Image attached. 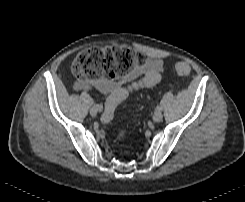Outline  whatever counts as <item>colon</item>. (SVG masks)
<instances>
[{"instance_id": "5ec220e1", "label": "colon", "mask_w": 245, "mask_h": 202, "mask_svg": "<svg viewBox=\"0 0 245 202\" xmlns=\"http://www.w3.org/2000/svg\"><path fill=\"white\" fill-rule=\"evenodd\" d=\"M143 61L142 54L126 45L86 48L76 54L71 69L74 75L83 79L93 80L106 77L116 80L124 77L134 66L141 65ZM174 70L181 76H187L191 72L190 66L185 62H177ZM114 111L115 106L107 104L102 121L109 122L113 118ZM123 137L124 133H121L118 139Z\"/></svg>"}]
</instances>
